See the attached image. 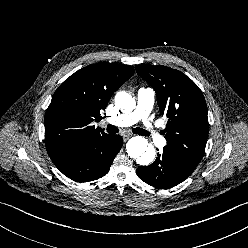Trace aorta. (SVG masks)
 <instances>
[{
  "mask_svg": "<svg viewBox=\"0 0 248 248\" xmlns=\"http://www.w3.org/2000/svg\"><path fill=\"white\" fill-rule=\"evenodd\" d=\"M115 104L123 112H130L135 108L136 101L131 94L120 91L115 95ZM126 152L140 165H149L155 158L154 148L148 149V141L142 136L132 137L126 144Z\"/></svg>",
  "mask_w": 248,
  "mask_h": 248,
  "instance_id": "1",
  "label": "aorta"
}]
</instances>
